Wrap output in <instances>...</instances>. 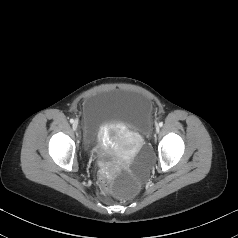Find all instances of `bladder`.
<instances>
[{"label":"bladder","mask_w":238,"mask_h":238,"mask_svg":"<svg viewBox=\"0 0 238 238\" xmlns=\"http://www.w3.org/2000/svg\"><path fill=\"white\" fill-rule=\"evenodd\" d=\"M152 109V102L146 96L127 90L113 89L87 98L82 111L85 146H95L101 128L112 123H122L140 135L148 134Z\"/></svg>","instance_id":"1"}]
</instances>
